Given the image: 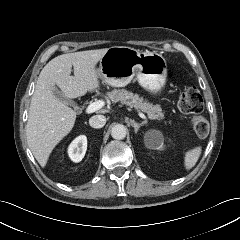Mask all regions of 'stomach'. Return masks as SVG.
Wrapping results in <instances>:
<instances>
[{"instance_id":"1","label":"stomach","mask_w":240,"mask_h":240,"mask_svg":"<svg viewBox=\"0 0 240 240\" xmlns=\"http://www.w3.org/2000/svg\"><path fill=\"white\" fill-rule=\"evenodd\" d=\"M96 70L98 78L112 87H124L136 76L139 85L152 94L161 91L167 77L161 54L125 46L108 48Z\"/></svg>"}]
</instances>
